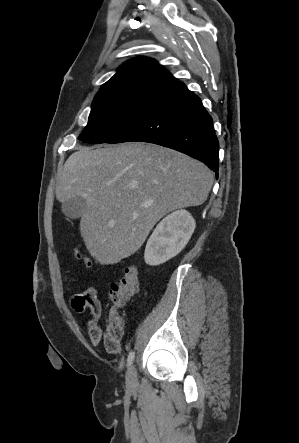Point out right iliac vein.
Instances as JSON below:
<instances>
[{
	"mask_svg": "<svg viewBox=\"0 0 299 443\" xmlns=\"http://www.w3.org/2000/svg\"><path fill=\"white\" fill-rule=\"evenodd\" d=\"M126 385L130 390L135 389L137 386V372L134 365H131L127 370Z\"/></svg>",
	"mask_w": 299,
	"mask_h": 443,
	"instance_id": "63e3f726",
	"label": "right iliac vein"
}]
</instances>
